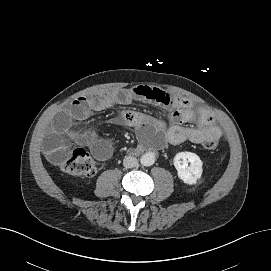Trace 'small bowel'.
I'll list each match as a JSON object with an SVG mask.
<instances>
[{
    "instance_id": "obj_1",
    "label": "small bowel",
    "mask_w": 271,
    "mask_h": 271,
    "mask_svg": "<svg viewBox=\"0 0 271 271\" xmlns=\"http://www.w3.org/2000/svg\"><path fill=\"white\" fill-rule=\"evenodd\" d=\"M132 102H148L172 110L168 122L131 110L123 111L113 119L116 124L134 127L143 142H152L156 146L176 145L185 141L200 144L209 137L221 136L213 115L204 109H196L191 100L156 87L138 85L76 98L55 117L44 141L46 157L53 164H60L67 155L65 141L72 139L90 148L97 159H109L113 154V146L99 137L98 129L79 134L72 128V123L87 119L94 111Z\"/></svg>"
}]
</instances>
